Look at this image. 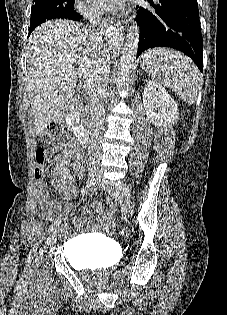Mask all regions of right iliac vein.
Wrapping results in <instances>:
<instances>
[{
  "label": "right iliac vein",
  "mask_w": 227,
  "mask_h": 315,
  "mask_svg": "<svg viewBox=\"0 0 227 315\" xmlns=\"http://www.w3.org/2000/svg\"><path fill=\"white\" fill-rule=\"evenodd\" d=\"M90 174H91V176H94V175H96V171L95 170H91ZM63 230H64V228L62 226L57 227L54 230V232L51 234L50 238L48 239V243L53 242L56 239V237L63 232ZM42 259H43V250H40L36 254V258L34 260L35 266H39L41 264V262H42Z\"/></svg>",
  "instance_id": "63e3f726"
}]
</instances>
